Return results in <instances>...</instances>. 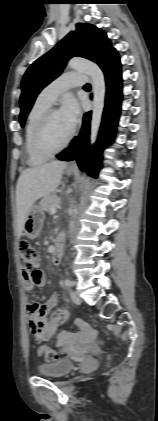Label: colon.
Segmentation results:
<instances>
[{
	"label": "colon",
	"mask_w": 158,
	"mask_h": 421,
	"mask_svg": "<svg viewBox=\"0 0 158 421\" xmlns=\"http://www.w3.org/2000/svg\"><path fill=\"white\" fill-rule=\"evenodd\" d=\"M19 252L23 272H35L39 265V254L37 250L30 244L28 240L23 239L19 242ZM29 288H34V284H29ZM38 354L47 362H53L58 358V353L47 346H41L38 350Z\"/></svg>",
	"instance_id": "5ec220e1"
}]
</instances>
